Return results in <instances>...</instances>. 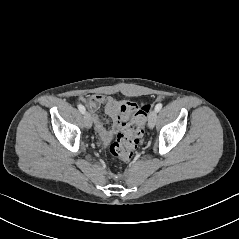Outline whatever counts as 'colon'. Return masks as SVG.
<instances>
[{"mask_svg": "<svg viewBox=\"0 0 239 239\" xmlns=\"http://www.w3.org/2000/svg\"><path fill=\"white\" fill-rule=\"evenodd\" d=\"M149 110L150 106L144 105L130 121L123 123L122 131L110 146V152L115 158L123 161H129L132 158L143 136L144 123Z\"/></svg>", "mask_w": 239, "mask_h": 239, "instance_id": "obj_1", "label": "colon"}]
</instances>
